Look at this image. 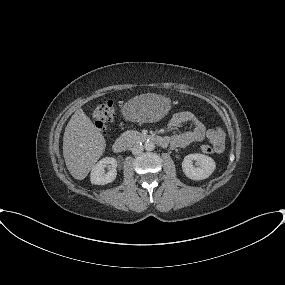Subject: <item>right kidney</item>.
Instances as JSON below:
<instances>
[{
	"mask_svg": "<svg viewBox=\"0 0 285 285\" xmlns=\"http://www.w3.org/2000/svg\"><path fill=\"white\" fill-rule=\"evenodd\" d=\"M109 171L106 173L105 168ZM117 160L114 157L102 158L91 170L90 181L95 185H105L115 180L117 176Z\"/></svg>",
	"mask_w": 285,
	"mask_h": 285,
	"instance_id": "ca27d5eb",
	"label": "right kidney"
}]
</instances>
